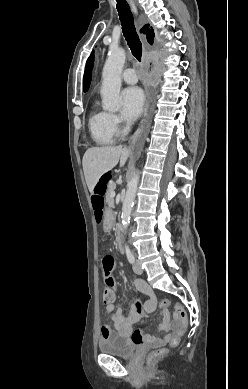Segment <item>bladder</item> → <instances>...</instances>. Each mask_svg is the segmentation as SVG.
<instances>
[{
    "label": "bladder",
    "mask_w": 248,
    "mask_h": 389,
    "mask_svg": "<svg viewBox=\"0 0 248 389\" xmlns=\"http://www.w3.org/2000/svg\"><path fill=\"white\" fill-rule=\"evenodd\" d=\"M98 348L103 355H112L121 358H131L137 349L135 344L117 334H111L103 338Z\"/></svg>",
    "instance_id": "obj_1"
}]
</instances>
